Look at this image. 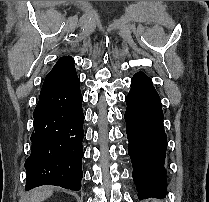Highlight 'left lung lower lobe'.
I'll return each mask as SVG.
<instances>
[{
	"instance_id": "obj_1",
	"label": "left lung lower lobe",
	"mask_w": 209,
	"mask_h": 202,
	"mask_svg": "<svg viewBox=\"0 0 209 202\" xmlns=\"http://www.w3.org/2000/svg\"><path fill=\"white\" fill-rule=\"evenodd\" d=\"M128 154L133 165V180L138 198H161L167 194L164 168L167 136L163 126L161 100L152 80L138 72L126 96Z\"/></svg>"
}]
</instances>
